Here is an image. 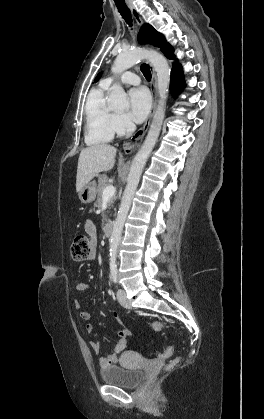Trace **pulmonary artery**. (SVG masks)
<instances>
[{"instance_id": "pulmonary-artery-1", "label": "pulmonary artery", "mask_w": 264, "mask_h": 419, "mask_svg": "<svg viewBox=\"0 0 264 419\" xmlns=\"http://www.w3.org/2000/svg\"><path fill=\"white\" fill-rule=\"evenodd\" d=\"M116 79L124 84L138 85L140 83L139 76L131 71H126L117 78L108 77L103 81V83L107 86H110Z\"/></svg>"}]
</instances>
